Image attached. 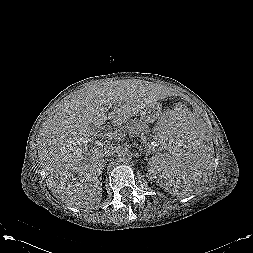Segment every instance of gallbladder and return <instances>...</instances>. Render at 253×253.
Wrapping results in <instances>:
<instances>
[{"instance_id":"1","label":"gallbladder","mask_w":253,"mask_h":253,"mask_svg":"<svg viewBox=\"0 0 253 253\" xmlns=\"http://www.w3.org/2000/svg\"><path fill=\"white\" fill-rule=\"evenodd\" d=\"M95 130H96V127H93L92 132L94 133Z\"/></svg>"}]
</instances>
